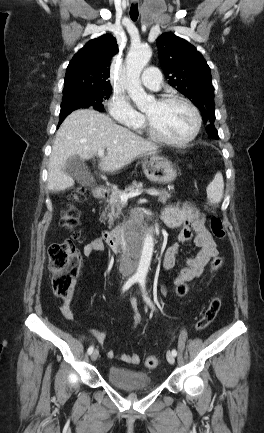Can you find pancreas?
Returning a JSON list of instances; mask_svg holds the SVG:
<instances>
[{"mask_svg":"<svg viewBox=\"0 0 264 433\" xmlns=\"http://www.w3.org/2000/svg\"><path fill=\"white\" fill-rule=\"evenodd\" d=\"M140 189V183L138 184L137 182H133V184L126 187L124 191L112 190L109 199H107L105 210L102 212L101 221L105 222L108 219L109 228H111L114 220L120 217L124 208V203L120 200V194L130 193ZM153 190L155 189L153 188ZM158 192L159 193L156 196L158 197V201L161 203H166L167 199L171 197V192L165 189H158Z\"/></svg>","mask_w":264,"mask_h":433,"instance_id":"1","label":"pancreas"}]
</instances>
